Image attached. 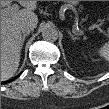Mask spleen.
Listing matches in <instances>:
<instances>
[{"label": "spleen", "mask_w": 109, "mask_h": 109, "mask_svg": "<svg viewBox=\"0 0 109 109\" xmlns=\"http://www.w3.org/2000/svg\"><path fill=\"white\" fill-rule=\"evenodd\" d=\"M99 54L106 60L108 59L109 57V44L108 43H105L103 47L100 48Z\"/></svg>", "instance_id": "obj_1"}]
</instances>
